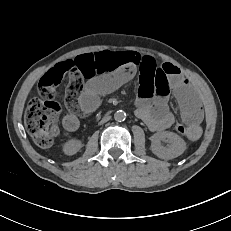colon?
<instances>
[{"label":"colon","mask_w":231,"mask_h":231,"mask_svg":"<svg viewBox=\"0 0 231 231\" xmlns=\"http://www.w3.org/2000/svg\"><path fill=\"white\" fill-rule=\"evenodd\" d=\"M37 98L32 99L25 111V126L36 145L46 148L52 144L57 132L60 106L55 101V85L41 79ZM175 131L182 136H190L191 128L183 123L175 125Z\"/></svg>","instance_id":"5ec220e1"}]
</instances>
